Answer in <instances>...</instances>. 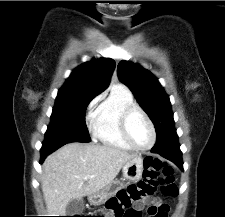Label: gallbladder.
<instances>
[{
	"instance_id": "1",
	"label": "gallbladder",
	"mask_w": 225,
	"mask_h": 217,
	"mask_svg": "<svg viewBox=\"0 0 225 217\" xmlns=\"http://www.w3.org/2000/svg\"><path fill=\"white\" fill-rule=\"evenodd\" d=\"M85 208V203L83 199H72L68 202L66 206V215L75 216L83 212Z\"/></svg>"
}]
</instances>
